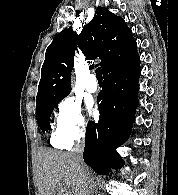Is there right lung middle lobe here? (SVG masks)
Masks as SVG:
<instances>
[{
  "label": "right lung middle lobe",
  "mask_w": 178,
  "mask_h": 195,
  "mask_svg": "<svg viewBox=\"0 0 178 195\" xmlns=\"http://www.w3.org/2000/svg\"><path fill=\"white\" fill-rule=\"evenodd\" d=\"M61 100H49L36 107V119L43 132L48 131L51 113Z\"/></svg>",
  "instance_id": "1"
}]
</instances>
